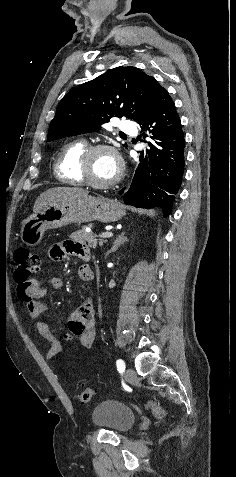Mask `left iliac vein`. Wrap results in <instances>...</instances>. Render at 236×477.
Returning <instances> with one entry per match:
<instances>
[{"mask_svg":"<svg viewBox=\"0 0 236 477\" xmlns=\"http://www.w3.org/2000/svg\"><path fill=\"white\" fill-rule=\"evenodd\" d=\"M125 378L127 381L132 382L136 378L135 371L132 368H127L125 370Z\"/></svg>","mask_w":236,"mask_h":477,"instance_id":"obj_1","label":"left iliac vein"}]
</instances>
